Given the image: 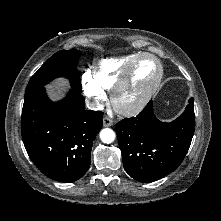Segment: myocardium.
I'll list each match as a JSON object with an SVG mask.
<instances>
[{
    "label": "myocardium",
    "mask_w": 221,
    "mask_h": 221,
    "mask_svg": "<svg viewBox=\"0 0 221 221\" xmlns=\"http://www.w3.org/2000/svg\"><path fill=\"white\" fill-rule=\"evenodd\" d=\"M144 58H151L157 63V78L154 81V83L150 86V88L146 92H144L136 101H134L133 103H124L122 101V97L131 84L136 66ZM163 75L164 68L159 58L151 53H141L130 63V65L127 67V69L113 88L111 102L114 109L120 114L129 116L139 113L147 105V103L151 100L153 95L158 90L162 82Z\"/></svg>",
    "instance_id": "myocardium-1"
}]
</instances>
